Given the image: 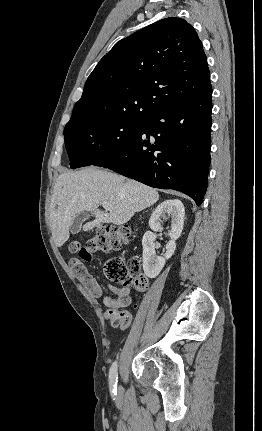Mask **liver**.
Instances as JSON below:
<instances>
[{
	"label": "liver",
	"instance_id": "obj_1",
	"mask_svg": "<svg viewBox=\"0 0 262 431\" xmlns=\"http://www.w3.org/2000/svg\"><path fill=\"white\" fill-rule=\"evenodd\" d=\"M159 200L156 189L111 171L93 166L79 171L60 174L54 185L50 204V225L57 247L69 238V229L75 216L88 211L95 220L84 225L89 231L101 223L123 225L136 212L144 210ZM108 202L109 212L98 209L99 204Z\"/></svg>",
	"mask_w": 262,
	"mask_h": 431
}]
</instances>
